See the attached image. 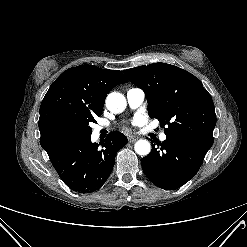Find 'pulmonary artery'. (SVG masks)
Here are the masks:
<instances>
[{
  "label": "pulmonary artery",
  "instance_id": "1",
  "mask_svg": "<svg viewBox=\"0 0 247 247\" xmlns=\"http://www.w3.org/2000/svg\"><path fill=\"white\" fill-rule=\"evenodd\" d=\"M126 98L128 105L132 109H136L143 104L145 99V93L141 88H130L126 93ZM100 129H101L100 127H97V130ZM166 137H167L166 134L162 133L160 134L159 139L161 141H165Z\"/></svg>",
  "mask_w": 247,
  "mask_h": 247
}]
</instances>
